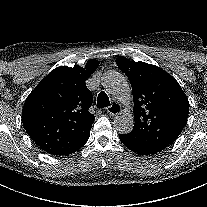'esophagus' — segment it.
<instances>
[{"label": "esophagus", "mask_w": 207, "mask_h": 207, "mask_svg": "<svg viewBox=\"0 0 207 207\" xmlns=\"http://www.w3.org/2000/svg\"><path fill=\"white\" fill-rule=\"evenodd\" d=\"M123 108L120 104L114 103L110 106V108L107 110V113L111 116H118L122 113Z\"/></svg>", "instance_id": "obj_1"}]
</instances>
